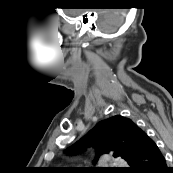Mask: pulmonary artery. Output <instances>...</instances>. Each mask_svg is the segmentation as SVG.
<instances>
[{
    "label": "pulmonary artery",
    "mask_w": 173,
    "mask_h": 173,
    "mask_svg": "<svg viewBox=\"0 0 173 173\" xmlns=\"http://www.w3.org/2000/svg\"><path fill=\"white\" fill-rule=\"evenodd\" d=\"M108 164H109L110 166L119 167V166H121L123 163H122L121 160H119V159H114V160H110V161L108 162Z\"/></svg>",
    "instance_id": "obj_1"
}]
</instances>
